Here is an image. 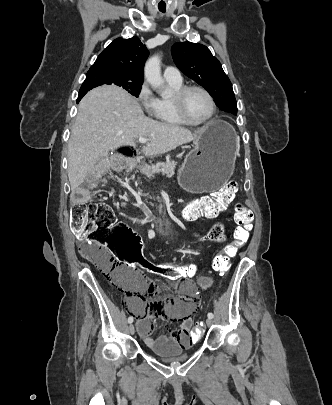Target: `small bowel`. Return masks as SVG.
Masks as SVG:
<instances>
[{
  "label": "small bowel",
  "mask_w": 332,
  "mask_h": 405,
  "mask_svg": "<svg viewBox=\"0 0 332 405\" xmlns=\"http://www.w3.org/2000/svg\"><path fill=\"white\" fill-rule=\"evenodd\" d=\"M100 178V172H85L82 182L84 186H97ZM186 212H190L194 219L199 216L190 210ZM213 227H223V225L216 223ZM196 235L202 242L207 239L214 240V236H209V234L203 236L196 233ZM223 238L224 241L225 236ZM194 267L196 274L197 267ZM121 271V289L131 294L126 300V306L129 312L137 318L138 333L146 346L152 350H157L158 353H189L191 344L188 334L193 327V320L190 316L201 305V298L196 297V290L197 288L208 289L212 285V278L201 276L197 283L190 280L176 282L174 284L175 289H166V297L161 302L156 298L160 291L159 285L146 279L140 271L132 267H122ZM145 271L149 272L148 270ZM192 276L190 275V277ZM156 316L177 319L180 320V324L177 328H170L169 335L153 338L150 334L155 328L154 318Z\"/></svg>",
  "instance_id": "small-bowel-1"
}]
</instances>
